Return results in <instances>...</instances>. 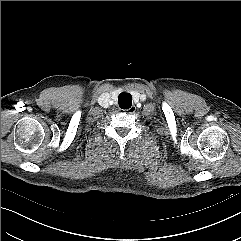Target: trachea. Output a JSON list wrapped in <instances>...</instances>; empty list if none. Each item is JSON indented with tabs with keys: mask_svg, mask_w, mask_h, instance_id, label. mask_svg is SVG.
Instances as JSON below:
<instances>
[{
	"mask_svg": "<svg viewBox=\"0 0 241 241\" xmlns=\"http://www.w3.org/2000/svg\"><path fill=\"white\" fill-rule=\"evenodd\" d=\"M121 109H129L132 106V96L129 93H121L118 97Z\"/></svg>",
	"mask_w": 241,
	"mask_h": 241,
	"instance_id": "1",
	"label": "trachea"
}]
</instances>
